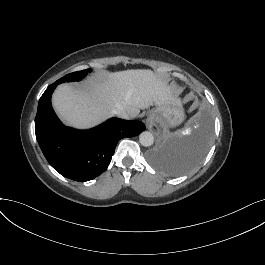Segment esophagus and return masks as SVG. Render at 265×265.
Here are the masks:
<instances>
[{"label":"esophagus","mask_w":265,"mask_h":265,"mask_svg":"<svg viewBox=\"0 0 265 265\" xmlns=\"http://www.w3.org/2000/svg\"><path fill=\"white\" fill-rule=\"evenodd\" d=\"M147 128L153 133H159L160 129L157 127L156 122L153 120L151 116L146 119Z\"/></svg>","instance_id":"obj_1"}]
</instances>
